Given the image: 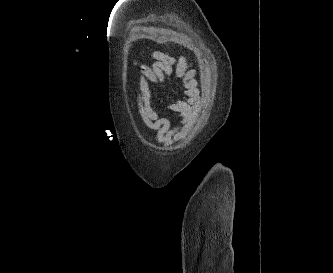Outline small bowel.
I'll return each mask as SVG.
<instances>
[{
  "instance_id": "c3829d8e",
  "label": "small bowel",
  "mask_w": 333,
  "mask_h": 273,
  "mask_svg": "<svg viewBox=\"0 0 333 273\" xmlns=\"http://www.w3.org/2000/svg\"><path fill=\"white\" fill-rule=\"evenodd\" d=\"M151 57L155 59L152 66L141 63L139 66V82L137 88V107L143 125L156 131L154 138L159 143L170 144L176 136L168 119L163 118L153 106L151 86L161 87L168 77L181 79L185 89L186 99L172 106V110L183 119L181 132L193 115L194 108L199 104V91L195 71L190 69L184 58H176L163 52L154 51Z\"/></svg>"
}]
</instances>
